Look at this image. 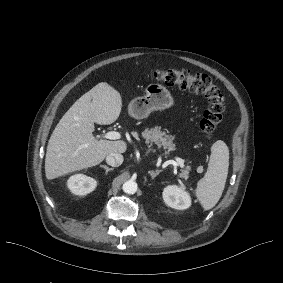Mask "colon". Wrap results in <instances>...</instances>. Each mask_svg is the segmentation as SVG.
I'll return each mask as SVG.
<instances>
[{"label":"colon","mask_w":283,"mask_h":283,"mask_svg":"<svg viewBox=\"0 0 283 283\" xmlns=\"http://www.w3.org/2000/svg\"><path fill=\"white\" fill-rule=\"evenodd\" d=\"M151 78L170 87H178L204 96L208 107L200 121V129L206 138L213 133L223 121L225 111L224 99L217 84L204 73H193L188 69H165L152 73Z\"/></svg>","instance_id":"obj_1"}]
</instances>
